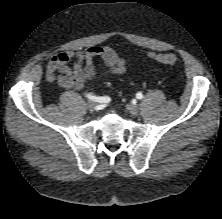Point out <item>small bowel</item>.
Listing matches in <instances>:
<instances>
[{
    "label": "small bowel",
    "instance_id": "1",
    "mask_svg": "<svg viewBox=\"0 0 222 219\" xmlns=\"http://www.w3.org/2000/svg\"><path fill=\"white\" fill-rule=\"evenodd\" d=\"M100 57L108 75L125 72L127 61L110 46H91L79 51H62L54 54L46 68V77L56 81L62 89L80 90L97 77L93 60ZM73 63L72 66L69 63Z\"/></svg>",
    "mask_w": 222,
    "mask_h": 219
}]
</instances>
